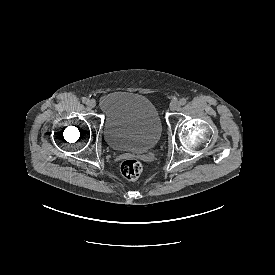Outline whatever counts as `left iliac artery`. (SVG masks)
I'll list each match as a JSON object with an SVG mask.
<instances>
[{"instance_id": "44dca946", "label": "left iliac artery", "mask_w": 275, "mask_h": 275, "mask_svg": "<svg viewBox=\"0 0 275 275\" xmlns=\"http://www.w3.org/2000/svg\"><path fill=\"white\" fill-rule=\"evenodd\" d=\"M179 102H180L181 105H185L187 101H186L185 98H182V99H180Z\"/></svg>"}]
</instances>
